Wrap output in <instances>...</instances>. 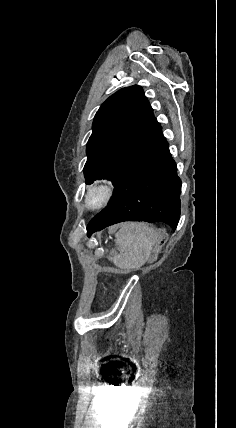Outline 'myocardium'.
<instances>
[{
    "mask_svg": "<svg viewBox=\"0 0 236 428\" xmlns=\"http://www.w3.org/2000/svg\"><path fill=\"white\" fill-rule=\"evenodd\" d=\"M116 188L106 179L99 178L90 182L84 193V205L90 211H99L105 208L114 198Z\"/></svg>",
    "mask_w": 236,
    "mask_h": 428,
    "instance_id": "f54148a6",
    "label": "myocardium"
}]
</instances>
